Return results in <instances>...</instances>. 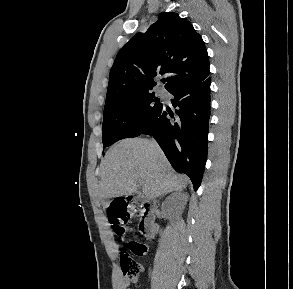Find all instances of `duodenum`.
<instances>
[{
	"mask_svg": "<svg viewBox=\"0 0 293 289\" xmlns=\"http://www.w3.org/2000/svg\"><path fill=\"white\" fill-rule=\"evenodd\" d=\"M132 205L139 208L140 220L139 230L147 238L152 239L154 236V219H155V206L152 203H140L133 196L129 197Z\"/></svg>",
	"mask_w": 293,
	"mask_h": 289,
	"instance_id": "obj_1",
	"label": "duodenum"
}]
</instances>
